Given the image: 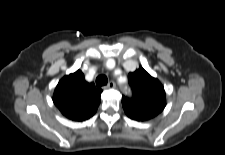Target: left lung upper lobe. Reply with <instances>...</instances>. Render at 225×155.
<instances>
[{"label": "left lung upper lobe", "mask_w": 225, "mask_h": 155, "mask_svg": "<svg viewBox=\"0 0 225 155\" xmlns=\"http://www.w3.org/2000/svg\"><path fill=\"white\" fill-rule=\"evenodd\" d=\"M132 88L131 97L123 96L126 115L136 121H146L160 114L166 106V94L162 84L142 67L128 74Z\"/></svg>", "instance_id": "left-lung-upper-lobe-1"}]
</instances>
